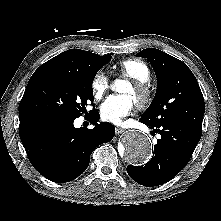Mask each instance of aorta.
I'll list each match as a JSON object with an SVG mask.
<instances>
[{
  "instance_id": "762f6f07",
  "label": "aorta",
  "mask_w": 221,
  "mask_h": 221,
  "mask_svg": "<svg viewBox=\"0 0 221 221\" xmlns=\"http://www.w3.org/2000/svg\"><path fill=\"white\" fill-rule=\"evenodd\" d=\"M124 81L116 80L112 86L113 90L122 92ZM122 156L131 164L142 165L149 160L152 154V145L149 137L138 130L129 131L122 142Z\"/></svg>"
}]
</instances>
